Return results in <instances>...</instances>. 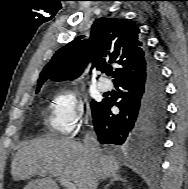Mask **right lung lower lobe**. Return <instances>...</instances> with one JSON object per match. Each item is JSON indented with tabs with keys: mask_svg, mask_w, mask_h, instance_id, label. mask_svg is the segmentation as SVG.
I'll return each mask as SVG.
<instances>
[{
	"mask_svg": "<svg viewBox=\"0 0 188 189\" xmlns=\"http://www.w3.org/2000/svg\"><path fill=\"white\" fill-rule=\"evenodd\" d=\"M120 113L110 108L114 102L104 99L93 115L95 131L101 143L124 145L146 153L161 144L166 124L165 83L152 56L145 70L116 84Z\"/></svg>",
	"mask_w": 188,
	"mask_h": 189,
	"instance_id": "1",
	"label": "right lung lower lobe"
}]
</instances>
